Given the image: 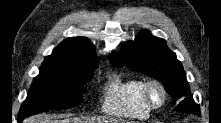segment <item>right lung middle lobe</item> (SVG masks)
<instances>
[{
  "mask_svg": "<svg viewBox=\"0 0 221 123\" xmlns=\"http://www.w3.org/2000/svg\"><path fill=\"white\" fill-rule=\"evenodd\" d=\"M95 66L42 63L19 114L28 117L48 109H67L80 104L86 90L84 84L93 77Z\"/></svg>",
  "mask_w": 221,
  "mask_h": 123,
  "instance_id": "dd1d6c3e",
  "label": "right lung middle lobe"
}]
</instances>
